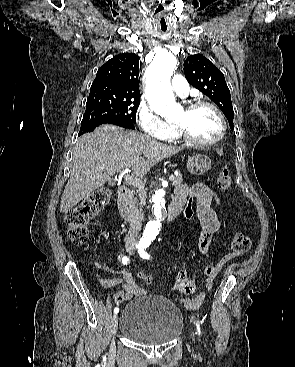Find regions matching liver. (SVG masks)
<instances>
[{"instance_id": "1", "label": "liver", "mask_w": 295, "mask_h": 367, "mask_svg": "<svg viewBox=\"0 0 295 367\" xmlns=\"http://www.w3.org/2000/svg\"><path fill=\"white\" fill-rule=\"evenodd\" d=\"M181 150L182 147L162 144L136 131L107 124L99 126L77 140L60 211H70L113 174L131 167L133 176L142 177L158 162Z\"/></svg>"}]
</instances>
